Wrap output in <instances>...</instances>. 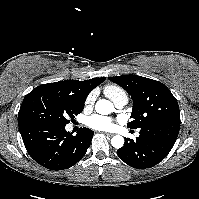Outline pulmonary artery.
Listing matches in <instances>:
<instances>
[{
	"mask_svg": "<svg viewBox=\"0 0 199 199\" xmlns=\"http://www.w3.org/2000/svg\"><path fill=\"white\" fill-rule=\"evenodd\" d=\"M105 94L113 101L117 108H122L128 101L127 95L123 92L117 93L115 91L105 89Z\"/></svg>",
	"mask_w": 199,
	"mask_h": 199,
	"instance_id": "e3ab8cb5",
	"label": "pulmonary artery"
}]
</instances>
